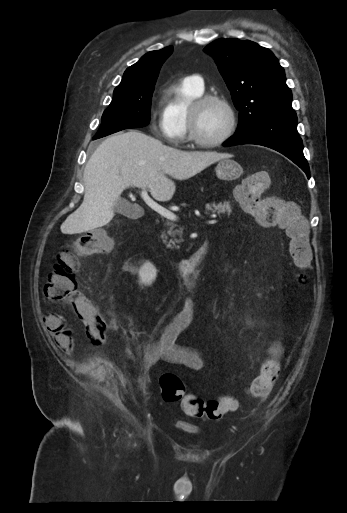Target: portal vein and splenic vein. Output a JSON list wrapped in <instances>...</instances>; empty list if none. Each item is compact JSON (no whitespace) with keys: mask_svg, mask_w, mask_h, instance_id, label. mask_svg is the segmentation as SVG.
Listing matches in <instances>:
<instances>
[{"mask_svg":"<svg viewBox=\"0 0 347 513\" xmlns=\"http://www.w3.org/2000/svg\"><path fill=\"white\" fill-rule=\"evenodd\" d=\"M139 188L142 189L141 191V197L142 199L144 200V202L154 211H156L157 213H159L161 216L167 218L168 220H171V221H176L177 220V215L175 213H173L172 211L166 209V208H163L162 206H160L158 203H156L147 193L146 189L144 186H137ZM209 224H215L217 223V220L214 218L212 220H209L208 221Z\"/></svg>","mask_w":347,"mask_h":513,"instance_id":"1","label":"portal vein and splenic vein"}]
</instances>
